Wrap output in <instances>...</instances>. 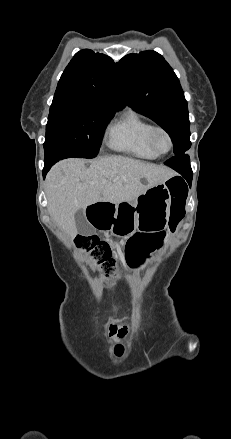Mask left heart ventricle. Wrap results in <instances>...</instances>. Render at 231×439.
<instances>
[{
    "instance_id": "left-heart-ventricle-1",
    "label": "left heart ventricle",
    "mask_w": 231,
    "mask_h": 439,
    "mask_svg": "<svg viewBox=\"0 0 231 439\" xmlns=\"http://www.w3.org/2000/svg\"><path fill=\"white\" fill-rule=\"evenodd\" d=\"M156 146L159 150L164 151L167 148V141L162 134H158L156 137Z\"/></svg>"
}]
</instances>
